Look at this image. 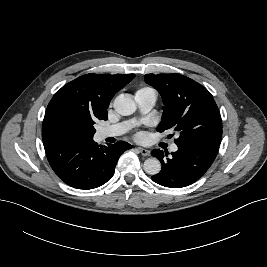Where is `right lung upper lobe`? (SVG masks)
Masks as SVG:
<instances>
[{
  "instance_id": "obj_1",
  "label": "right lung upper lobe",
  "mask_w": 267,
  "mask_h": 267,
  "mask_svg": "<svg viewBox=\"0 0 267 267\" xmlns=\"http://www.w3.org/2000/svg\"><path fill=\"white\" fill-rule=\"evenodd\" d=\"M134 77L135 74H86L67 83L48 104L42 138L60 136V127L68 118L94 122L106 120L112 97Z\"/></svg>"
}]
</instances>
